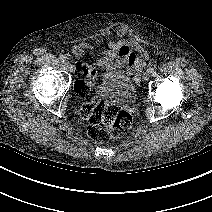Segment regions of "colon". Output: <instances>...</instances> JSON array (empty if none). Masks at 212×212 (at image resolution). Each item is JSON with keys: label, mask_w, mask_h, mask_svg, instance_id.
<instances>
[{"label": "colon", "mask_w": 212, "mask_h": 212, "mask_svg": "<svg viewBox=\"0 0 212 212\" xmlns=\"http://www.w3.org/2000/svg\"><path fill=\"white\" fill-rule=\"evenodd\" d=\"M78 79L75 90L84 96L92 86L95 71L85 61L76 64ZM80 113L88 120V136L97 142H106L112 138L121 137L127 133L132 124V116L117 104H105L101 100L92 99L85 102Z\"/></svg>", "instance_id": "colon-1"}]
</instances>
